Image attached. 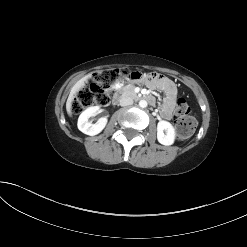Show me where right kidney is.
<instances>
[{
    "label": "right kidney",
    "instance_id": "ca27d5eb",
    "mask_svg": "<svg viewBox=\"0 0 247 247\" xmlns=\"http://www.w3.org/2000/svg\"><path fill=\"white\" fill-rule=\"evenodd\" d=\"M99 109L100 108L98 106L89 107L81 113L77 123L78 129L81 132L90 136H94L99 134L105 128L108 121L106 117L98 119L95 124H92L88 121L91 116H94L99 112Z\"/></svg>",
    "mask_w": 247,
    "mask_h": 247
}]
</instances>
